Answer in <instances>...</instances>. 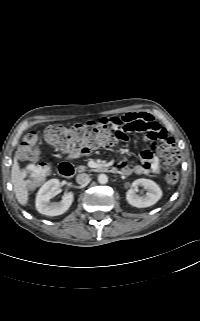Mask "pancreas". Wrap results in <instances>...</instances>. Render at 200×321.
Listing matches in <instances>:
<instances>
[{
    "mask_svg": "<svg viewBox=\"0 0 200 321\" xmlns=\"http://www.w3.org/2000/svg\"><path fill=\"white\" fill-rule=\"evenodd\" d=\"M77 170H78L79 172H82V171H85V170H86V167H85V166H78V167H77Z\"/></svg>",
    "mask_w": 200,
    "mask_h": 321,
    "instance_id": "pancreas-1",
    "label": "pancreas"
}]
</instances>
